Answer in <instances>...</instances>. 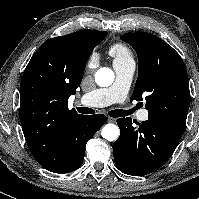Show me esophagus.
<instances>
[{
    "label": "esophagus",
    "instance_id": "esophagus-1",
    "mask_svg": "<svg viewBox=\"0 0 199 199\" xmlns=\"http://www.w3.org/2000/svg\"><path fill=\"white\" fill-rule=\"evenodd\" d=\"M107 121L110 122V123H114L116 121V119L112 118V117H108Z\"/></svg>",
    "mask_w": 199,
    "mask_h": 199
}]
</instances>
